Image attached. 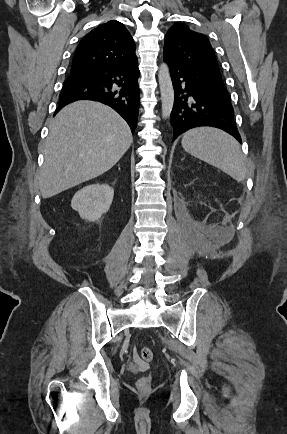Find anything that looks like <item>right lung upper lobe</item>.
Wrapping results in <instances>:
<instances>
[{
  "label": "right lung upper lobe",
  "mask_w": 287,
  "mask_h": 434,
  "mask_svg": "<svg viewBox=\"0 0 287 434\" xmlns=\"http://www.w3.org/2000/svg\"><path fill=\"white\" fill-rule=\"evenodd\" d=\"M135 62L137 56L132 36L121 22L112 20L82 38L73 57L70 76Z\"/></svg>",
  "instance_id": "cb5924a9"
}]
</instances>
